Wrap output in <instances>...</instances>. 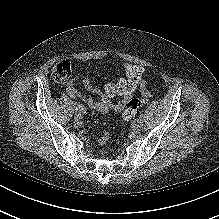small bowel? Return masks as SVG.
I'll list each match as a JSON object with an SVG mask.
<instances>
[{"instance_id": "c3829d8e", "label": "small bowel", "mask_w": 219, "mask_h": 219, "mask_svg": "<svg viewBox=\"0 0 219 219\" xmlns=\"http://www.w3.org/2000/svg\"><path fill=\"white\" fill-rule=\"evenodd\" d=\"M83 86L87 89L92 91L93 90V86L90 80L85 79L83 80ZM146 84L145 82L142 84V94L145 97H149L151 95L150 91L146 89ZM66 93L68 94V96H70L73 99H77V100H82L84 103H86L90 108H92L93 110H97V111H101V104L104 100V98L102 97L101 100L99 101H95L85 95H82L73 85V80H71L70 82H68L67 86H66ZM126 100V99H125ZM122 101L120 102L115 108L117 110L121 109L123 103L125 102Z\"/></svg>"}]
</instances>
